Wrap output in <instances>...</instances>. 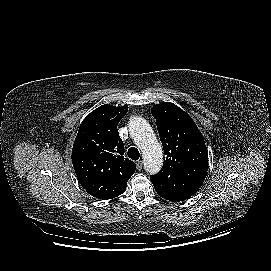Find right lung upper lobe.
Listing matches in <instances>:
<instances>
[{"mask_svg": "<svg viewBox=\"0 0 271 271\" xmlns=\"http://www.w3.org/2000/svg\"><path fill=\"white\" fill-rule=\"evenodd\" d=\"M127 110L126 105H102L83 120L72 149V163L78 180L127 185L136 165L124 158V145L117 129Z\"/></svg>", "mask_w": 271, "mask_h": 271, "instance_id": "right-lung-upper-lobe-1", "label": "right lung upper lobe"}]
</instances>
